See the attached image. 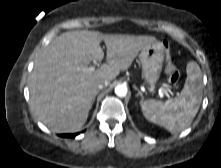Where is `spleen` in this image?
<instances>
[{
  "label": "spleen",
  "mask_w": 221,
  "mask_h": 168,
  "mask_svg": "<svg viewBox=\"0 0 221 168\" xmlns=\"http://www.w3.org/2000/svg\"><path fill=\"white\" fill-rule=\"evenodd\" d=\"M186 71V82L179 97L166 102L154 99L141 102L145 118L172 134L182 132L192 123L202 100L203 84L199 65L191 61Z\"/></svg>",
  "instance_id": "3e777b00"
}]
</instances>
